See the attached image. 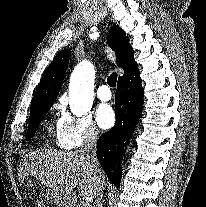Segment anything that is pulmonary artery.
<instances>
[{"mask_svg":"<svg viewBox=\"0 0 206 207\" xmlns=\"http://www.w3.org/2000/svg\"><path fill=\"white\" fill-rule=\"evenodd\" d=\"M97 98L101 101H109L112 93L107 85H101L96 92Z\"/></svg>","mask_w":206,"mask_h":207,"instance_id":"obj_1","label":"pulmonary artery"}]
</instances>
